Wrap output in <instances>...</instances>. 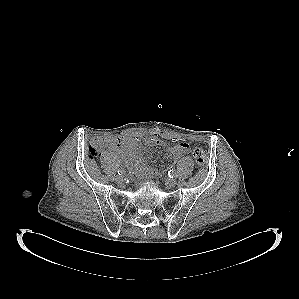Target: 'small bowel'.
<instances>
[{"instance_id": "small-bowel-1", "label": "small bowel", "mask_w": 299, "mask_h": 299, "mask_svg": "<svg viewBox=\"0 0 299 299\" xmlns=\"http://www.w3.org/2000/svg\"><path fill=\"white\" fill-rule=\"evenodd\" d=\"M147 143L155 145H165L159 135H154L146 139ZM106 146L110 148L122 161L128 170L137 177H152L157 170L150 167L143 157L139 143L135 138L122 137L118 139H107ZM190 152L188 143L180 142L167 148L166 157L168 159H178Z\"/></svg>"}]
</instances>
